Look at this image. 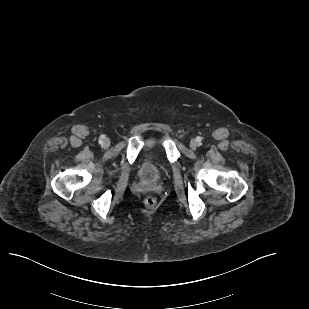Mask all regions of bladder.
Instances as JSON below:
<instances>
[{
  "label": "bladder",
  "instance_id": "1",
  "mask_svg": "<svg viewBox=\"0 0 309 309\" xmlns=\"http://www.w3.org/2000/svg\"><path fill=\"white\" fill-rule=\"evenodd\" d=\"M164 168L152 158L145 159L139 168V176L146 182H153L162 177Z\"/></svg>",
  "mask_w": 309,
  "mask_h": 309
}]
</instances>
